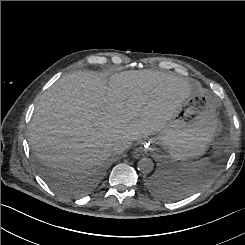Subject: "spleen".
Masks as SVG:
<instances>
[{"label":"spleen","mask_w":245,"mask_h":245,"mask_svg":"<svg viewBox=\"0 0 245 245\" xmlns=\"http://www.w3.org/2000/svg\"><path fill=\"white\" fill-rule=\"evenodd\" d=\"M208 164H209L208 159H202L200 161H195V162H185L183 163L182 166L185 171L189 173H194L206 168Z\"/></svg>","instance_id":"1"}]
</instances>
